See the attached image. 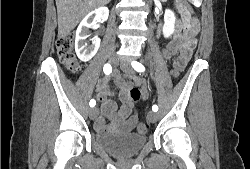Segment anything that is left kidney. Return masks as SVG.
Wrapping results in <instances>:
<instances>
[{
    "instance_id": "left-kidney-1",
    "label": "left kidney",
    "mask_w": 250,
    "mask_h": 169,
    "mask_svg": "<svg viewBox=\"0 0 250 169\" xmlns=\"http://www.w3.org/2000/svg\"><path fill=\"white\" fill-rule=\"evenodd\" d=\"M175 14L173 10H170V8H166L165 14H164V24H163V34L165 38H168V36H171L175 30Z\"/></svg>"
}]
</instances>
